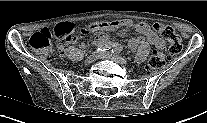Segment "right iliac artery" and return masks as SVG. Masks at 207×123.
<instances>
[{
	"mask_svg": "<svg viewBox=\"0 0 207 123\" xmlns=\"http://www.w3.org/2000/svg\"><path fill=\"white\" fill-rule=\"evenodd\" d=\"M114 44L110 43V42H105V43H101L97 45L96 51L97 52H103V51H107L109 49H111L113 47Z\"/></svg>",
	"mask_w": 207,
	"mask_h": 123,
	"instance_id": "1",
	"label": "right iliac artery"
}]
</instances>
